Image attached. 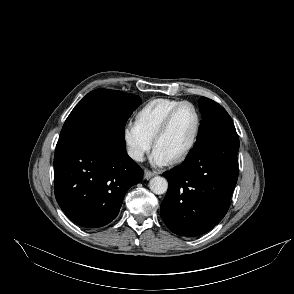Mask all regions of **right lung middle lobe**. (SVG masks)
I'll list each match as a JSON object with an SVG mask.
<instances>
[{"mask_svg":"<svg viewBox=\"0 0 294 294\" xmlns=\"http://www.w3.org/2000/svg\"><path fill=\"white\" fill-rule=\"evenodd\" d=\"M140 102L139 96L121 91L97 89L88 93L66 119L56 147L78 139L124 138L125 124Z\"/></svg>","mask_w":294,"mask_h":294,"instance_id":"obj_1","label":"right lung middle lobe"}]
</instances>
